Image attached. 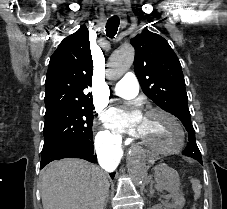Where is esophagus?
Segmentation results:
<instances>
[{
  "label": "esophagus",
  "mask_w": 227,
  "mask_h": 209,
  "mask_svg": "<svg viewBox=\"0 0 227 209\" xmlns=\"http://www.w3.org/2000/svg\"><path fill=\"white\" fill-rule=\"evenodd\" d=\"M143 159L141 160L142 164H146L147 167H152L153 163H152V159H154V154L152 151H145L144 152Z\"/></svg>",
  "instance_id": "34e87169"
}]
</instances>
